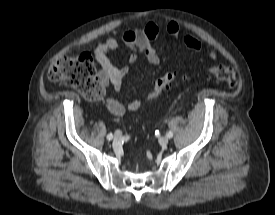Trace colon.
Returning a JSON list of instances; mask_svg holds the SVG:
<instances>
[{
    "label": "colon",
    "mask_w": 275,
    "mask_h": 215,
    "mask_svg": "<svg viewBox=\"0 0 275 215\" xmlns=\"http://www.w3.org/2000/svg\"><path fill=\"white\" fill-rule=\"evenodd\" d=\"M206 77L215 79L229 89H234L238 85L235 72L223 65L208 67ZM49 79L54 84L76 89L88 100H99L104 95V89L96 77L95 65L89 53L55 59L49 69ZM179 79L177 73H168L157 79L153 91L143 102L157 99Z\"/></svg>",
    "instance_id": "1"
}]
</instances>
